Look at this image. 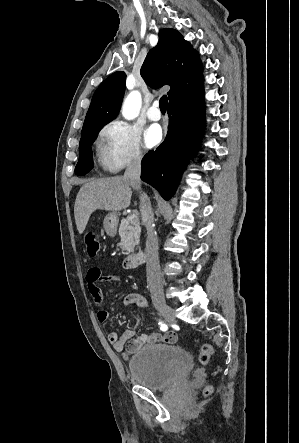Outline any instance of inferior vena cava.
I'll list each match as a JSON object with an SVG mask.
<instances>
[{
	"mask_svg": "<svg viewBox=\"0 0 299 443\" xmlns=\"http://www.w3.org/2000/svg\"><path fill=\"white\" fill-rule=\"evenodd\" d=\"M141 155H136L124 173V179L129 181L133 189L141 190ZM140 213L142 223L147 230L146 257L147 283L152 297L163 295V282L158 259V241L153 228V213L150 200L144 192L140 194Z\"/></svg>",
	"mask_w": 299,
	"mask_h": 443,
	"instance_id": "inferior-vena-cava-1",
	"label": "inferior vena cava"
}]
</instances>
